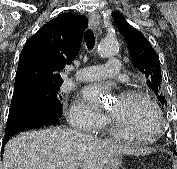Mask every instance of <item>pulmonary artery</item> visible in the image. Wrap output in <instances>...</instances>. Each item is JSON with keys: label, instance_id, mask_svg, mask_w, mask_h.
Returning <instances> with one entry per match:
<instances>
[{"label": "pulmonary artery", "instance_id": "e3ab8cb5", "mask_svg": "<svg viewBox=\"0 0 177 169\" xmlns=\"http://www.w3.org/2000/svg\"><path fill=\"white\" fill-rule=\"evenodd\" d=\"M121 63L117 58L111 57L106 65L88 66L80 69L75 78L79 81H99L119 72Z\"/></svg>", "mask_w": 177, "mask_h": 169}]
</instances>
